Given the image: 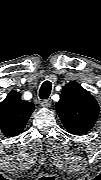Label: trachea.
Listing matches in <instances>:
<instances>
[{
  "instance_id": "obj_1",
  "label": "trachea",
  "mask_w": 101,
  "mask_h": 180,
  "mask_svg": "<svg viewBox=\"0 0 101 180\" xmlns=\"http://www.w3.org/2000/svg\"><path fill=\"white\" fill-rule=\"evenodd\" d=\"M52 90V83L45 81L40 88L39 97L40 99H48Z\"/></svg>"
}]
</instances>
